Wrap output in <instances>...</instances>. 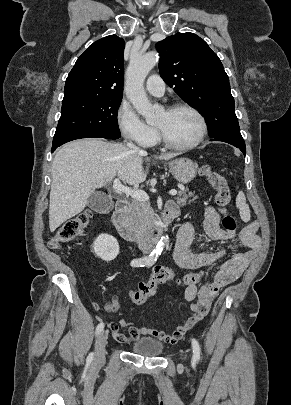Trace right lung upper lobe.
Instances as JSON below:
<instances>
[{"label": "right lung upper lobe", "mask_w": 291, "mask_h": 405, "mask_svg": "<svg viewBox=\"0 0 291 405\" xmlns=\"http://www.w3.org/2000/svg\"><path fill=\"white\" fill-rule=\"evenodd\" d=\"M124 40L116 35L95 41L77 59L64 89L63 102L122 97Z\"/></svg>", "instance_id": "obj_1"}]
</instances>
